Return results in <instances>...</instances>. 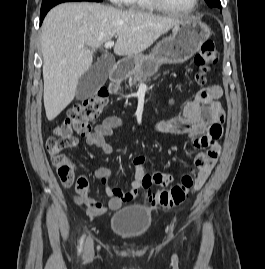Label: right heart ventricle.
I'll return each instance as SVG.
<instances>
[{
  "mask_svg": "<svg viewBox=\"0 0 265 269\" xmlns=\"http://www.w3.org/2000/svg\"><path fill=\"white\" fill-rule=\"evenodd\" d=\"M124 4L132 9L152 11L156 9L149 0H125Z\"/></svg>",
  "mask_w": 265,
  "mask_h": 269,
  "instance_id": "1",
  "label": "right heart ventricle"
}]
</instances>
